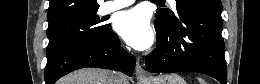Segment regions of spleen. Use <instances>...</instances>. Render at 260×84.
Returning a JSON list of instances; mask_svg holds the SVG:
<instances>
[{
	"label": "spleen",
	"mask_w": 260,
	"mask_h": 84,
	"mask_svg": "<svg viewBox=\"0 0 260 84\" xmlns=\"http://www.w3.org/2000/svg\"><path fill=\"white\" fill-rule=\"evenodd\" d=\"M198 81H199L200 84H206V82L202 78H198Z\"/></svg>",
	"instance_id": "spleen-1"
}]
</instances>
